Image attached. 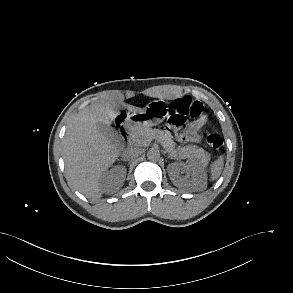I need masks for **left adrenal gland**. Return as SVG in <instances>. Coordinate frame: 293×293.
I'll list each match as a JSON object with an SVG mask.
<instances>
[{"mask_svg": "<svg viewBox=\"0 0 293 293\" xmlns=\"http://www.w3.org/2000/svg\"><path fill=\"white\" fill-rule=\"evenodd\" d=\"M168 158H169V159H172V157H171V156H168Z\"/></svg>", "mask_w": 293, "mask_h": 293, "instance_id": "obj_1", "label": "left adrenal gland"}]
</instances>
